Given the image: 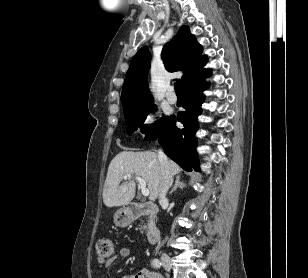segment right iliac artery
I'll return each instance as SVG.
<instances>
[{"instance_id":"82829eb1","label":"right iliac artery","mask_w":308,"mask_h":278,"mask_svg":"<svg viewBox=\"0 0 308 278\" xmlns=\"http://www.w3.org/2000/svg\"><path fill=\"white\" fill-rule=\"evenodd\" d=\"M152 264H153V266L155 268H160L161 267V262L158 259H154Z\"/></svg>"}]
</instances>
